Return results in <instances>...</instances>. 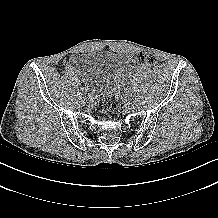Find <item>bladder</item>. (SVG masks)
<instances>
[{"label": "bladder", "mask_w": 218, "mask_h": 218, "mask_svg": "<svg viewBox=\"0 0 218 218\" xmlns=\"http://www.w3.org/2000/svg\"><path fill=\"white\" fill-rule=\"evenodd\" d=\"M78 60L94 97L107 95L120 79L118 56L113 52L83 53Z\"/></svg>", "instance_id": "obj_1"}]
</instances>
